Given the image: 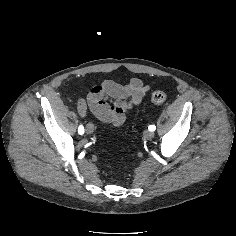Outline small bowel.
I'll return each mask as SVG.
<instances>
[{"instance_id":"small-bowel-1","label":"small bowel","mask_w":236,"mask_h":236,"mask_svg":"<svg viewBox=\"0 0 236 236\" xmlns=\"http://www.w3.org/2000/svg\"><path fill=\"white\" fill-rule=\"evenodd\" d=\"M148 91L149 86L139 78H133L127 84L105 80L92 87L86 100H78L77 110L85 117L89 108L102 122L119 126L124 123L128 112L143 101Z\"/></svg>"}]
</instances>
